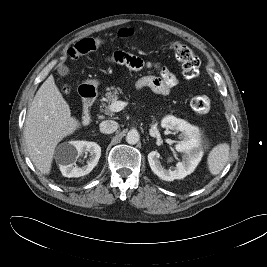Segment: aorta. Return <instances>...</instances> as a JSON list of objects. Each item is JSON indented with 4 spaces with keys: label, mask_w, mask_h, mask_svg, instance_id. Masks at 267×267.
<instances>
[{
    "label": "aorta",
    "mask_w": 267,
    "mask_h": 267,
    "mask_svg": "<svg viewBox=\"0 0 267 267\" xmlns=\"http://www.w3.org/2000/svg\"><path fill=\"white\" fill-rule=\"evenodd\" d=\"M140 135L137 130H130L126 136V142L130 145L137 144L139 142Z\"/></svg>",
    "instance_id": "obj_1"
}]
</instances>
